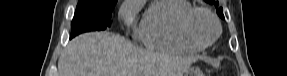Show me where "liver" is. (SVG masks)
<instances>
[{
  "label": "liver",
  "instance_id": "obj_1",
  "mask_svg": "<svg viewBox=\"0 0 287 76\" xmlns=\"http://www.w3.org/2000/svg\"><path fill=\"white\" fill-rule=\"evenodd\" d=\"M195 57L140 50L108 32L74 38L58 60L59 76H182Z\"/></svg>",
  "mask_w": 287,
  "mask_h": 76
}]
</instances>
